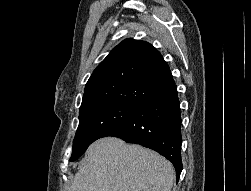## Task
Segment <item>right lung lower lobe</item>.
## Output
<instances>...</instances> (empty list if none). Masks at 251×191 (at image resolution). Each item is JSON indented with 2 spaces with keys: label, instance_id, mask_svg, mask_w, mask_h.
Masks as SVG:
<instances>
[{
  "label": "right lung lower lobe",
  "instance_id": "obj_1",
  "mask_svg": "<svg viewBox=\"0 0 251 191\" xmlns=\"http://www.w3.org/2000/svg\"><path fill=\"white\" fill-rule=\"evenodd\" d=\"M113 136L127 143L150 148L166 157L176 170V182L183 169L181 162V112L177 86L144 104L123 123L103 137Z\"/></svg>",
  "mask_w": 251,
  "mask_h": 191
}]
</instances>
